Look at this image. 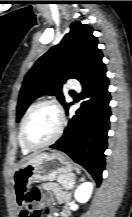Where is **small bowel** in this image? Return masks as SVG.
<instances>
[{
    "instance_id": "obj_1",
    "label": "small bowel",
    "mask_w": 132,
    "mask_h": 217,
    "mask_svg": "<svg viewBox=\"0 0 132 217\" xmlns=\"http://www.w3.org/2000/svg\"><path fill=\"white\" fill-rule=\"evenodd\" d=\"M44 188L47 191H52L55 195L56 201L59 204H68L70 200V196L66 191H63L58 185L53 183H46L44 184ZM25 193L26 191L23 189H16V201L17 204L22 208L19 213V217H28L29 213L32 209H39L40 205L44 206L47 210H50L53 206V200L45 196L41 199L40 204L32 203L28 204L25 201ZM47 217H53L52 215H48Z\"/></svg>"
}]
</instances>
